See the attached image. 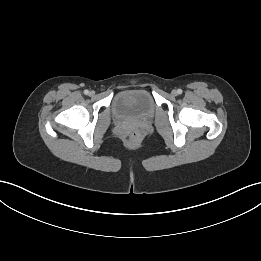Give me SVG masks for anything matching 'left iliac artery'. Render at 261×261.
Wrapping results in <instances>:
<instances>
[{"label": "left iliac artery", "mask_w": 261, "mask_h": 261, "mask_svg": "<svg viewBox=\"0 0 261 261\" xmlns=\"http://www.w3.org/2000/svg\"><path fill=\"white\" fill-rule=\"evenodd\" d=\"M177 93H178V94H181V93H182V90H181V89H178V90H177Z\"/></svg>", "instance_id": "1"}]
</instances>
